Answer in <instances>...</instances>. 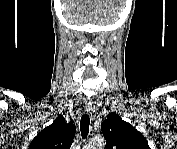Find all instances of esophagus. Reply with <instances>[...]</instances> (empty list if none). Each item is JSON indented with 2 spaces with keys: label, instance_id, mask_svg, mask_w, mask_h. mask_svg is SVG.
<instances>
[{
  "label": "esophagus",
  "instance_id": "obj_1",
  "mask_svg": "<svg viewBox=\"0 0 177 149\" xmlns=\"http://www.w3.org/2000/svg\"><path fill=\"white\" fill-rule=\"evenodd\" d=\"M84 109H85L86 112H90L92 110L91 102H85Z\"/></svg>",
  "mask_w": 177,
  "mask_h": 149
}]
</instances>
